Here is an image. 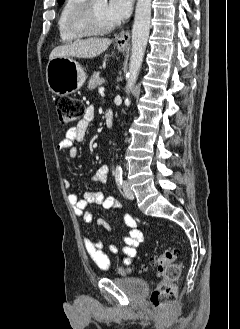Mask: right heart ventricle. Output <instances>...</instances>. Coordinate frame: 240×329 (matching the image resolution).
<instances>
[{"mask_svg":"<svg viewBox=\"0 0 240 329\" xmlns=\"http://www.w3.org/2000/svg\"><path fill=\"white\" fill-rule=\"evenodd\" d=\"M84 0H65L63 6L61 7L57 26L60 35V39L63 42L70 43L75 42L83 37L88 35H78L74 33L70 27V18L74 11L78 8L79 5L83 3Z\"/></svg>","mask_w":240,"mask_h":329,"instance_id":"e07e8e85","label":"right heart ventricle"}]
</instances>
